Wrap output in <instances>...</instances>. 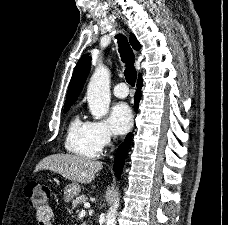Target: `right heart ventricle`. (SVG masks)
<instances>
[{
  "instance_id": "right-heart-ventricle-1",
  "label": "right heart ventricle",
  "mask_w": 228,
  "mask_h": 225,
  "mask_svg": "<svg viewBox=\"0 0 228 225\" xmlns=\"http://www.w3.org/2000/svg\"><path fill=\"white\" fill-rule=\"evenodd\" d=\"M64 147L69 153L86 158L98 157L101 153L90 123L83 122L78 114L67 125Z\"/></svg>"
}]
</instances>
